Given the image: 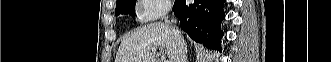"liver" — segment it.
Returning a JSON list of instances; mask_svg holds the SVG:
<instances>
[{
  "mask_svg": "<svg viewBox=\"0 0 331 62\" xmlns=\"http://www.w3.org/2000/svg\"><path fill=\"white\" fill-rule=\"evenodd\" d=\"M175 33L180 31L168 24L155 22L137 28L127 35L121 42L116 54L115 62H157L152 48H166L170 62H175ZM182 37V36H181ZM183 38V37H182Z\"/></svg>",
  "mask_w": 331,
  "mask_h": 62,
  "instance_id": "obj_1",
  "label": "liver"
}]
</instances>
